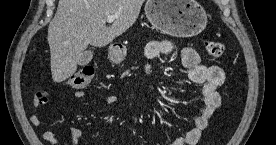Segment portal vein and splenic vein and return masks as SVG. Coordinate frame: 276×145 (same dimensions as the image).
Returning <instances> with one entry per match:
<instances>
[{
	"label": "portal vein and splenic vein",
	"instance_id": "18ae733b",
	"mask_svg": "<svg viewBox=\"0 0 276 145\" xmlns=\"http://www.w3.org/2000/svg\"><path fill=\"white\" fill-rule=\"evenodd\" d=\"M117 18V16L111 15L107 17V22L108 23H112L115 21V19Z\"/></svg>",
	"mask_w": 276,
	"mask_h": 145
}]
</instances>
